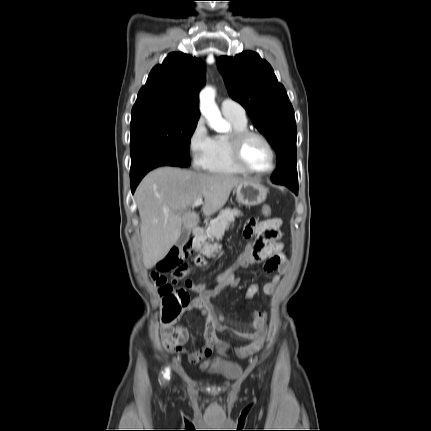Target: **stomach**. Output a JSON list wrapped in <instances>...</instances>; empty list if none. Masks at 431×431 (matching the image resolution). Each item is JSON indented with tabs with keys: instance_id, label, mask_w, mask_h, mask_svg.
Listing matches in <instances>:
<instances>
[{
	"instance_id": "stomach-1",
	"label": "stomach",
	"mask_w": 431,
	"mask_h": 431,
	"mask_svg": "<svg viewBox=\"0 0 431 431\" xmlns=\"http://www.w3.org/2000/svg\"><path fill=\"white\" fill-rule=\"evenodd\" d=\"M236 199L246 206L263 203L267 197V188L254 180H245L235 187Z\"/></svg>"
}]
</instances>
